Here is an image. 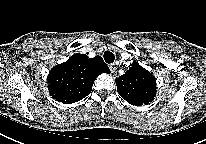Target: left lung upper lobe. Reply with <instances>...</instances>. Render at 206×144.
Listing matches in <instances>:
<instances>
[{
  "label": "left lung upper lobe",
  "instance_id": "5c2ea615",
  "mask_svg": "<svg viewBox=\"0 0 206 144\" xmlns=\"http://www.w3.org/2000/svg\"><path fill=\"white\" fill-rule=\"evenodd\" d=\"M116 85L120 96L135 106L149 104L156 95L154 76L136 61L125 74L116 78Z\"/></svg>",
  "mask_w": 206,
  "mask_h": 144
}]
</instances>
